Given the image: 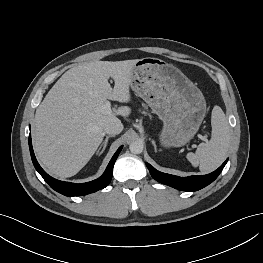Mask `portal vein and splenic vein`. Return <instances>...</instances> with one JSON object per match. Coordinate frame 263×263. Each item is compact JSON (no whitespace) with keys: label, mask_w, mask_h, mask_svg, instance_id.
I'll return each mask as SVG.
<instances>
[{"label":"portal vein and splenic vein","mask_w":263,"mask_h":263,"mask_svg":"<svg viewBox=\"0 0 263 263\" xmlns=\"http://www.w3.org/2000/svg\"><path fill=\"white\" fill-rule=\"evenodd\" d=\"M99 111L104 114H112L111 103L109 101L105 102L99 107ZM198 137L203 141H207L205 136L199 135Z\"/></svg>","instance_id":"1"}]
</instances>
